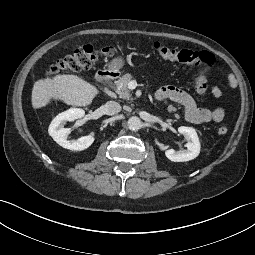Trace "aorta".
I'll list each match as a JSON object with an SVG mask.
<instances>
[{
    "mask_svg": "<svg viewBox=\"0 0 255 255\" xmlns=\"http://www.w3.org/2000/svg\"><path fill=\"white\" fill-rule=\"evenodd\" d=\"M128 129L131 131H138L142 128V121L137 116H132L127 122Z\"/></svg>",
    "mask_w": 255,
    "mask_h": 255,
    "instance_id": "762f6f07",
    "label": "aorta"
}]
</instances>
